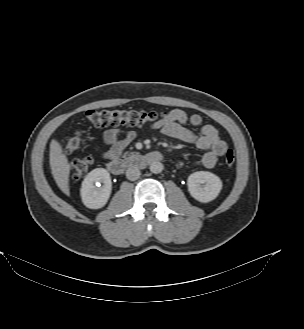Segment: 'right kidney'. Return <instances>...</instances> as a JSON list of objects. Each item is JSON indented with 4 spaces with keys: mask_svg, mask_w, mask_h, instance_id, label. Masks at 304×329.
I'll list each match as a JSON object with an SVG mask.
<instances>
[{
    "mask_svg": "<svg viewBox=\"0 0 304 329\" xmlns=\"http://www.w3.org/2000/svg\"><path fill=\"white\" fill-rule=\"evenodd\" d=\"M111 190L112 184L109 172L104 168H96L84 178L80 195L86 207L99 209L107 203Z\"/></svg>",
    "mask_w": 304,
    "mask_h": 329,
    "instance_id": "ca27d5eb",
    "label": "right kidney"
}]
</instances>
